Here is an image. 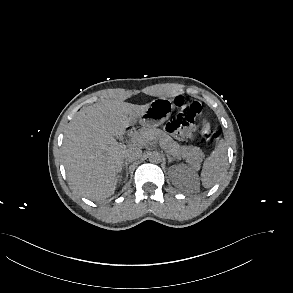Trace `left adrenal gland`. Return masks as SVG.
Here are the masks:
<instances>
[{
	"label": "left adrenal gland",
	"instance_id": "1",
	"mask_svg": "<svg viewBox=\"0 0 293 293\" xmlns=\"http://www.w3.org/2000/svg\"><path fill=\"white\" fill-rule=\"evenodd\" d=\"M167 158H168V162H169V163L172 162V161H175V159L172 158V157H170V156H167Z\"/></svg>",
	"mask_w": 293,
	"mask_h": 293
}]
</instances>
